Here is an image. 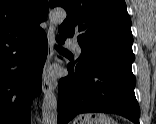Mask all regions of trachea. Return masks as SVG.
<instances>
[{
	"mask_svg": "<svg viewBox=\"0 0 156 124\" xmlns=\"http://www.w3.org/2000/svg\"><path fill=\"white\" fill-rule=\"evenodd\" d=\"M56 48H57L58 50H60V51H65V49H63V48H61V47H59V46H56Z\"/></svg>",
	"mask_w": 156,
	"mask_h": 124,
	"instance_id": "3493384b",
	"label": "trachea"
}]
</instances>
